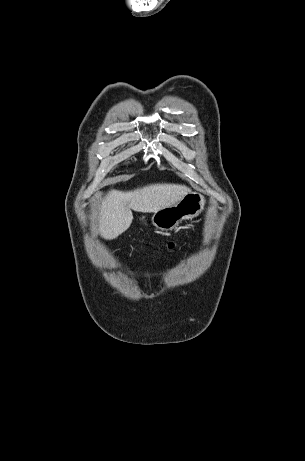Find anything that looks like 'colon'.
<instances>
[{
	"label": "colon",
	"instance_id": "obj_1",
	"mask_svg": "<svg viewBox=\"0 0 305 461\" xmlns=\"http://www.w3.org/2000/svg\"><path fill=\"white\" fill-rule=\"evenodd\" d=\"M167 247H168V248H171V247H172V243H168V244H167Z\"/></svg>",
	"mask_w": 305,
	"mask_h": 461
}]
</instances>
